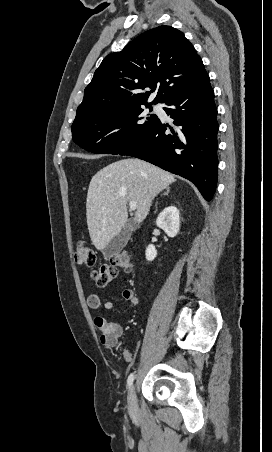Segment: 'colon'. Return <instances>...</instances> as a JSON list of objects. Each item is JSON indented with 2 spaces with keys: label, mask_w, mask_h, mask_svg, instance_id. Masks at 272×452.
<instances>
[{
  "label": "colon",
  "mask_w": 272,
  "mask_h": 452,
  "mask_svg": "<svg viewBox=\"0 0 272 452\" xmlns=\"http://www.w3.org/2000/svg\"><path fill=\"white\" fill-rule=\"evenodd\" d=\"M76 265L93 268L96 265V254L85 241H79L74 253ZM132 269L131 256L128 252H121L111 256L109 263L99 265L92 273V278L100 287L108 286L116 278L118 271L129 272ZM126 360L130 359L128 353H124Z\"/></svg>",
  "instance_id": "obj_1"
}]
</instances>
